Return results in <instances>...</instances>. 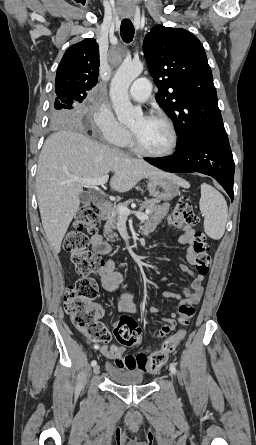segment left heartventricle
Masks as SVG:
<instances>
[{
    "mask_svg": "<svg viewBox=\"0 0 256 445\" xmlns=\"http://www.w3.org/2000/svg\"><path fill=\"white\" fill-rule=\"evenodd\" d=\"M142 146L151 152H164L171 143V134L168 127L156 120L138 118L131 126Z\"/></svg>",
    "mask_w": 256,
    "mask_h": 445,
    "instance_id": "1",
    "label": "left heart ventricle"
}]
</instances>
